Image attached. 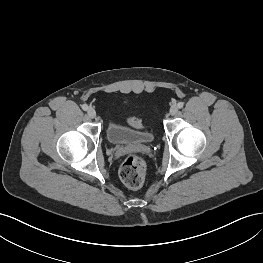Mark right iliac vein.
<instances>
[{
  "label": "right iliac vein",
  "mask_w": 263,
  "mask_h": 263,
  "mask_svg": "<svg viewBox=\"0 0 263 263\" xmlns=\"http://www.w3.org/2000/svg\"><path fill=\"white\" fill-rule=\"evenodd\" d=\"M87 114H88V116H89L90 118H95V117H96V111H95V109H93V108H89V109L87 110Z\"/></svg>",
  "instance_id": "right-iliac-vein-1"
}]
</instances>
